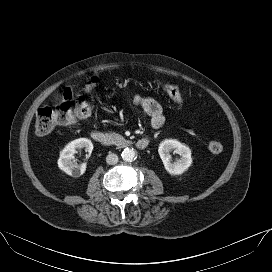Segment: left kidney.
<instances>
[{"mask_svg":"<svg viewBox=\"0 0 272 272\" xmlns=\"http://www.w3.org/2000/svg\"><path fill=\"white\" fill-rule=\"evenodd\" d=\"M171 151L179 154L181 158L172 162L170 155ZM158 153L166 171L172 175L183 174L192 164L190 148L177 140L166 139L162 141L159 145Z\"/></svg>","mask_w":272,"mask_h":272,"instance_id":"1","label":"left kidney"}]
</instances>
